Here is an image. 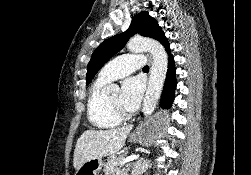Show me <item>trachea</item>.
I'll use <instances>...</instances> for the list:
<instances>
[{
    "mask_svg": "<svg viewBox=\"0 0 251 175\" xmlns=\"http://www.w3.org/2000/svg\"><path fill=\"white\" fill-rule=\"evenodd\" d=\"M144 71H149V67L148 65H146L144 68H143Z\"/></svg>",
    "mask_w": 251,
    "mask_h": 175,
    "instance_id": "obj_1",
    "label": "trachea"
}]
</instances>
